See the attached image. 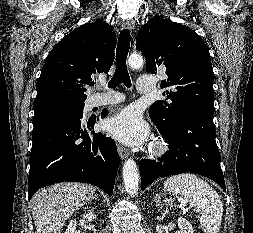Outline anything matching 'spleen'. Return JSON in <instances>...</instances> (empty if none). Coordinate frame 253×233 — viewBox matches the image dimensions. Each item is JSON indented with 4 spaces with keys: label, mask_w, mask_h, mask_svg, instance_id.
I'll return each mask as SVG.
<instances>
[{
    "label": "spleen",
    "mask_w": 253,
    "mask_h": 233,
    "mask_svg": "<svg viewBox=\"0 0 253 233\" xmlns=\"http://www.w3.org/2000/svg\"><path fill=\"white\" fill-rule=\"evenodd\" d=\"M164 188L183 196L200 214V225L205 233H218L223 216V205L218 193L206 181L194 174H179L168 178Z\"/></svg>",
    "instance_id": "obj_1"
}]
</instances>
